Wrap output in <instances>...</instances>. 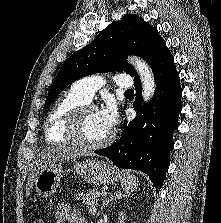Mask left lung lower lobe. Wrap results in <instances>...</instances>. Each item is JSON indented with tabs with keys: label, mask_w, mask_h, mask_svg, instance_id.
Wrapping results in <instances>:
<instances>
[{
	"label": "left lung lower lobe",
	"mask_w": 221,
	"mask_h": 223,
	"mask_svg": "<svg viewBox=\"0 0 221 223\" xmlns=\"http://www.w3.org/2000/svg\"><path fill=\"white\" fill-rule=\"evenodd\" d=\"M152 71L156 80L152 99L142 106L141 82H134L136 118L125 122L119 140L95 153L108 157L119 168L146 173L158 191L169 167L172 133L178 127V115L182 109V89L174 59L167 48Z\"/></svg>",
	"instance_id": "1"
}]
</instances>
